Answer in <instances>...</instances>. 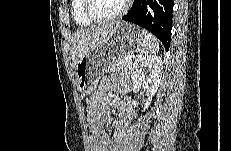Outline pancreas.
I'll use <instances>...</instances> for the list:
<instances>
[{
	"instance_id": "cf45deb5",
	"label": "pancreas",
	"mask_w": 231,
	"mask_h": 151,
	"mask_svg": "<svg viewBox=\"0 0 231 151\" xmlns=\"http://www.w3.org/2000/svg\"><path fill=\"white\" fill-rule=\"evenodd\" d=\"M131 67H132V61L126 60V56H120L114 62H112L107 72H115V71L129 72Z\"/></svg>"
}]
</instances>
